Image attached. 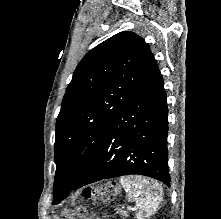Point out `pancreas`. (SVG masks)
Here are the masks:
<instances>
[{"label":"pancreas","mask_w":221,"mask_h":219,"mask_svg":"<svg viewBox=\"0 0 221 219\" xmlns=\"http://www.w3.org/2000/svg\"><path fill=\"white\" fill-rule=\"evenodd\" d=\"M117 213H119L121 216H128L127 212L123 210H117Z\"/></svg>","instance_id":"obj_1"}]
</instances>
